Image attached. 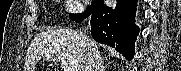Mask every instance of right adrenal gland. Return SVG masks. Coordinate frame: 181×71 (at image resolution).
<instances>
[{"mask_svg":"<svg viewBox=\"0 0 181 71\" xmlns=\"http://www.w3.org/2000/svg\"><path fill=\"white\" fill-rule=\"evenodd\" d=\"M100 68H101V71H106L107 67L104 66V59L103 58L101 60V67Z\"/></svg>","mask_w":181,"mask_h":71,"instance_id":"2a0ac1e0","label":"right adrenal gland"}]
</instances>
